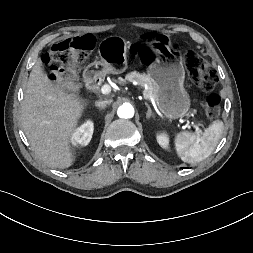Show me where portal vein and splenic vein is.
Segmentation results:
<instances>
[{
  "instance_id": "18ae733b",
  "label": "portal vein and splenic vein",
  "mask_w": 253,
  "mask_h": 253,
  "mask_svg": "<svg viewBox=\"0 0 253 253\" xmlns=\"http://www.w3.org/2000/svg\"><path fill=\"white\" fill-rule=\"evenodd\" d=\"M100 92L104 95L109 94L111 92V87L108 84H105L101 87ZM144 98L151 100V102L154 104V100L150 99L147 95H144ZM186 126L187 127H190V126L194 127L197 134H200L202 132L200 127L198 125L194 124L193 122L187 121Z\"/></svg>"
}]
</instances>
